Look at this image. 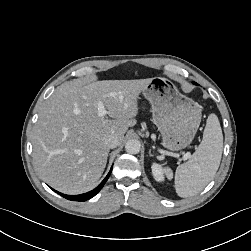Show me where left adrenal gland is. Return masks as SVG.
<instances>
[{
	"label": "left adrenal gland",
	"instance_id": "obj_1",
	"mask_svg": "<svg viewBox=\"0 0 251 251\" xmlns=\"http://www.w3.org/2000/svg\"><path fill=\"white\" fill-rule=\"evenodd\" d=\"M149 156H153V154L151 153V149L149 150Z\"/></svg>",
	"mask_w": 251,
	"mask_h": 251
}]
</instances>
